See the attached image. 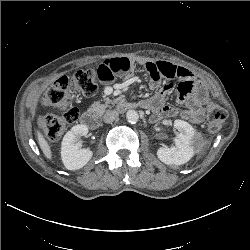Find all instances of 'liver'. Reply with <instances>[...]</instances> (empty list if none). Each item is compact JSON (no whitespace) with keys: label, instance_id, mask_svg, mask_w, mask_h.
I'll return each instance as SVG.
<instances>
[{"label":"liver","instance_id":"1","mask_svg":"<svg viewBox=\"0 0 250 250\" xmlns=\"http://www.w3.org/2000/svg\"><path fill=\"white\" fill-rule=\"evenodd\" d=\"M37 138H38V144H39L43 154L45 155L46 158L51 160L52 159L51 148L39 130H37Z\"/></svg>","mask_w":250,"mask_h":250}]
</instances>
